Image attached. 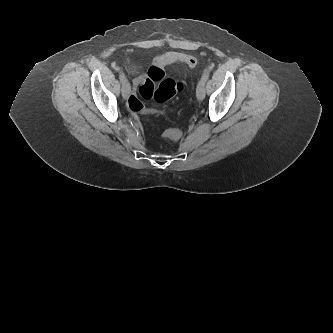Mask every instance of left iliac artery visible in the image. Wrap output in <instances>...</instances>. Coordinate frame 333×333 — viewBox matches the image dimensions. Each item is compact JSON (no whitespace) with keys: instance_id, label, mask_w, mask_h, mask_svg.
Returning <instances> with one entry per match:
<instances>
[{"instance_id":"obj_1","label":"left iliac artery","mask_w":333,"mask_h":333,"mask_svg":"<svg viewBox=\"0 0 333 333\" xmlns=\"http://www.w3.org/2000/svg\"><path fill=\"white\" fill-rule=\"evenodd\" d=\"M209 78V72L208 71H204V74L201 78V81L205 84V82L208 80Z\"/></svg>"}]
</instances>
